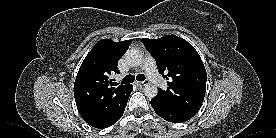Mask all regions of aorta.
I'll list each match as a JSON object with an SVG mask.
<instances>
[{
  "mask_svg": "<svg viewBox=\"0 0 276 138\" xmlns=\"http://www.w3.org/2000/svg\"><path fill=\"white\" fill-rule=\"evenodd\" d=\"M125 60L130 66H139L142 64L143 56L138 49L131 48L125 53ZM144 94L147 98H155L158 94V88L155 85L147 84L144 87Z\"/></svg>",
  "mask_w": 276,
  "mask_h": 138,
  "instance_id": "aorta-1",
  "label": "aorta"
}]
</instances>
